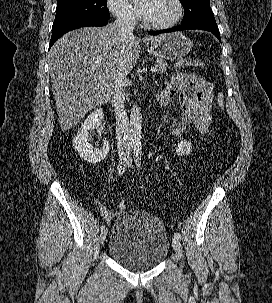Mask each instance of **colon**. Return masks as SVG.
I'll return each instance as SVG.
<instances>
[{
	"instance_id": "1",
	"label": "colon",
	"mask_w": 272,
	"mask_h": 303,
	"mask_svg": "<svg viewBox=\"0 0 272 303\" xmlns=\"http://www.w3.org/2000/svg\"><path fill=\"white\" fill-rule=\"evenodd\" d=\"M204 65V62L199 59L194 58H181L175 61L174 68L178 71L184 70L187 68H193V67H201ZM217 102L219 108L222 110L224 108V95L223 93H218L217 95ZM119 207L121 210L125 209V204L123 202H120Z\"/></svg>"
}]
</instances>
